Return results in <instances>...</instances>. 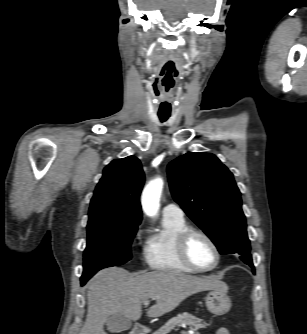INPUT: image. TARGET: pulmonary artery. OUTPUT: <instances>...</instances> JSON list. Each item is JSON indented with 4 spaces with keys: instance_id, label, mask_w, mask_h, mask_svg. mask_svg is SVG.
I'll list each match as a JSON object with an SVG mask.
<instances>
[{
    "instance_id": "pulmonary-artery-1",
    "label": "pulmonary artery",
    "mask_w": 307,
    "mask_h": 334,
    "mask_svg": "<svg viewBox=\"0 0 307 334\" xmlns=\"http://www.w3.org/2000/svg\"><path fill=\"white\" fill-rule=\"evenodd\" d=\"M163 217L172 218L175 220H183L184 213L179 205L176 203H168L162 209Z\"/></svg>"
}]
</instances>
